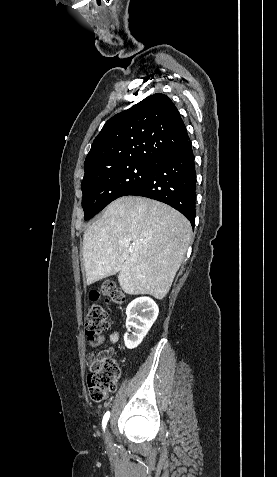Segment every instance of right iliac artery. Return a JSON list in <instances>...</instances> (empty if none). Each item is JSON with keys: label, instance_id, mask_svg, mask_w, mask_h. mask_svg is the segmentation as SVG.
Instances as JSON below:
<instances>
[{"label": "right iliac artery", "instance_id": "right-iliac-artery-1", "mask_svg": "<svg viewBox=\"0 0 277 477\" xmlns=\"http://www.w3.org/2000/svg\"><path fill=\"white\" fill-rule=\"evenodd\" d=\"M109 417H110V412L108 411V412L105 413V415L103 417V421H102L103 429H105L106 424L109 420Z\"/></svg>", "mask_w": 277, "mask_h": 477}]
</instances>
